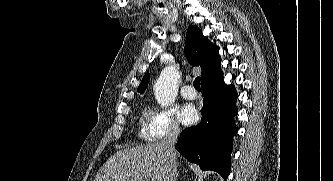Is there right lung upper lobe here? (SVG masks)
<instances>
[{
  "mask_svg": "<svg viewBox=\"0 0 333 181\" xmlns=\"http://www.w3.org/2000/svg\"><path fill=\"white\" fill-rule=\"evenodd\" d=\"M185 55L191 65L201 66V86L222 78L218 48L211 44L196 26H190L187 30ZM148 82L149 73H146L137 91L143 93Z\"/></svg>",
  "mask_w": 333,
  "mask_h": 181,
  "instance_id": "obj_1",
  "label": "right lung upper lobe"
}]
</instances>
